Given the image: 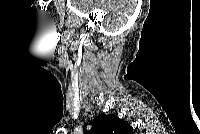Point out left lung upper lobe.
Listing matches in <instances>:
<instances>
[{
  "label": "left lung upper lobe",
  "mask_w": 200,
  "mask_h": 134,
  "mask_svg": "<svg viewBox=\"0 0 200 134\" xmlns=\"http://www.w3.org/2000/svg\"><path fill=\"white\" fill-rule=\"evenodd\" d=\"M86 134H133V128L115 115H99Z\"/></svg>",
  "instance_id": "obj_1"
}]
</instances>
